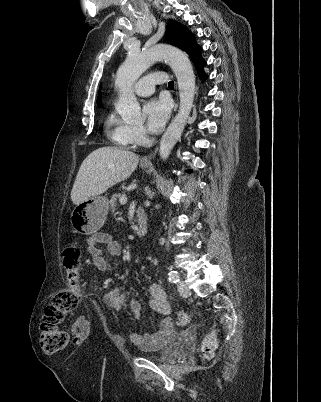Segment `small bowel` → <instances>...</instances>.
Returning a JSON list of instances; mask_svg holds the SVG:
<instances>
[{"instance_id":"small-bowel-1","label":"small bowel","mask_w":321,"mask_h":402,"mask_svg":"<svg viewBox=\"0 0 321 402\" xmlns=\"http://www.w3.org/2000/svg\"><path fill=\"white\" fill-rule=\"evenodd\" d=\"M102 245L107 246L108 253L111 256H120L122 248L121 244L116 241L112 235L107 233L94 234L88 240L87 250L93 267L100 271H107L109 270L110 265L103 256ZM148 292L150 297V309L157 315L162 316L159 330L154 333L133 332L129 335V339L134 345L145 350L156 348L161 344L168 342L175 334L173 321L168 316L170 313V306L163 288L157 283H152L148 287ZM125 298L126 289L123 286H119L105 293L104 302L107 307L115 311H120L123 307ZM130 306L135 318L140 319L142 317L140 303L136 299H132ZM88 331L89 326L87 322L80 317L77 318L70 327V332L74 337V342L77 344L87 336Z\"/></svg>"}]
</instances>
